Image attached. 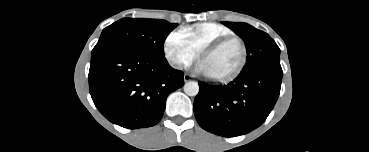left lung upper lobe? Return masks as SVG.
Instances as JSON below:
<instances>
[{
  "label": "left lung upper lobe",
  "instance_id": "5c2ea615",
  "mask_svg": "<svg viewBox=\"0 0 369 152\" xmlns=\"http://www.w3.org/2000/svg\"><path fill=\"white\" fill-rule=\"evenodd\" d=\"M245 42L247 61L239 76H249L259 71H282L280 49L265 32L246 23L223 22Z\"/></svg>",
  "mask_w": 369,
  "mask_h": 152
}]
</instances>
